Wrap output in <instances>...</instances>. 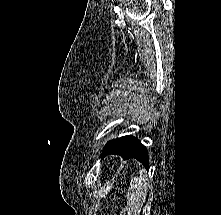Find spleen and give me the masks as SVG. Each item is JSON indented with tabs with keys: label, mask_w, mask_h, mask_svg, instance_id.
Wrapping results in <instances>:
<instances>
[{
	"label": "spleen",
	"mask_w": 221,
	"mask_h": 215,
	"mask_svg": "<svg viewBox=\"0 0 221 215\" xmlns=\"http://www.w3.org/2000/svg\"><path fill=\"white\" fill-rule=\"evenodd\" d=\"M148 190V177L145 170H140V176L135 177L130 182L127 193V211L132 215L140 213L145 202Z\"/></svg>",
	"instance_id": "3e777b00"
}]
</instances>
